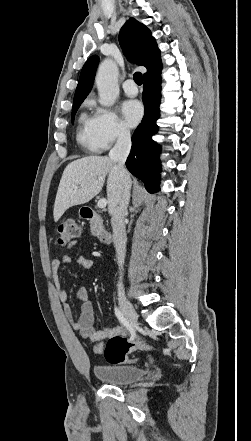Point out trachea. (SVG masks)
<instances>
[{"label":"trachea","instance_id":"obj_1","mask_svg":"<svg viewBox=\"0 0 251 441\" xmlns=\"http://www.w3.org/2000/svg\"><path fill=\"white\" fill-rule=\"evenodd\" d=\"M133 79L138 85H142L143 80H142V74L140 72L134 73Z\"/></svg>","mask_w":251,"mask_h":441}]
</instances>
